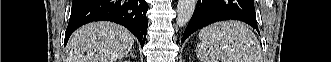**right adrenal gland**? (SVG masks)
Masks as SVG:
<instances>
[{"label": "right adrenal gland", "mask_w": 331, "mask_h": 62, "mask_svg": "<svg viewBox=\"0 0 331 62\" xmlns=\"http://www.w3.org/2000/svg\"><path fill=\"white\" fill-rule=\"evenodd\" d=\"M129 56H132V57H134V58H135V55H133V53H132V52L129 54Z\"/></svg>", "instance_id": "obj_1"}]
</instances>
